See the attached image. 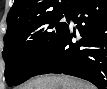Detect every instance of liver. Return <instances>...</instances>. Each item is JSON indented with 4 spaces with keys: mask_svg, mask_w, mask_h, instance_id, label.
<instances>
[{
    "mask_svg": "<svg viewBox=\"0 0 107 89\" xmlns=\"http://www.w3.org/2000/svg\"><path fill=\"white\" fill-rule=\"evenodd\" d=\"M18 89H95L87 82L66 75H42Z\"/></svg>",
    "mask_w": 107,
    "mask_h": 89,
    "instance_id": "1",
    "label": "liver"
}]
</instances>
